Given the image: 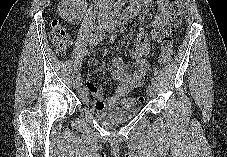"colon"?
I'll use <instances>...</instances> for the list:
<instances>
[{
    "label": "colon",
    "instance_id": "colon-1",
    "mask_svg": "<svg viewBox=\"0 0 227 157\" xmlns=\"http://www.w3.org/2000/svg\"><path fill=\"white\" fill-rule=\"evenodd\" d=\"M182 22V6L181 0H173L170 10V23L167 28V38L163 42V45L159 51V60L162 64L167 65L173 55L172 44L170 42L171 38L176 34L177 28ZM51 40L55 46L58 55L63 56L68 51L71 40L66 28L59 21H54L51 25L50 32ZM143 101L142 97L132 98L127 97L122 100L121 105L123 107H133L137 103Z\"/></svg>",
    "mask_w": 227,
    "mask_h": 157
}]
</instances>
